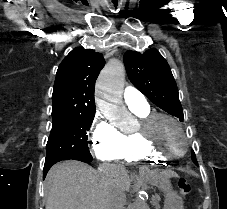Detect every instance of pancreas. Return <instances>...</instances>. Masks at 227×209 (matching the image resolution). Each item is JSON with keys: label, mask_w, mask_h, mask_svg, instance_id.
I'll list each match as a JSON object with an SVG mask.
<instances>
[{"label": "pancreas", "mask_w": 227, "mask_h": 209, "mask_svg": "<svg viewBox=\"0 0 227 209\" xmlns=\"http://www.w3.org/2000/svg\"><path fill=\"white\" fill-rule=\"evenodd\" d=\"M158 206H159V205L156 203V204L154 205L153 209H159Z\"/></svg>", "instance_id": "obj_1"}]
</instances>
